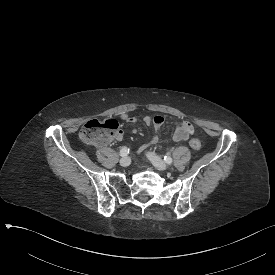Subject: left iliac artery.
Masks as SVG:
<instances>
[{
	"label": "left iliac artery",
	"instance_id": "1",
	"mask_svg": "<svg viewBox=\"0 0 275 275\" xmlns=\"http://www.w3.org/2000/svg\"><path fill=\"white\" fill-rule=\"evenodd\" d=\"M164 161L167 164H171L173 160L170 156L166 155V156H164Z\"/></svg>",
	"mask_w": 275,
	"mask_h": 275
}]
</instances>
